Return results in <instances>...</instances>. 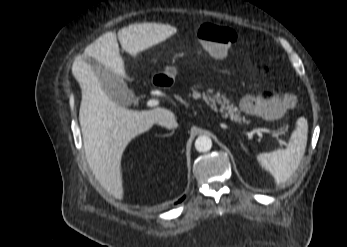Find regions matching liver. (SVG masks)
I'll list each match as a JSON object with an SVG mask.
<instances>
[{
    "instance_id": "liver-1",
    "label": "liver",
    "mask_w": 347,
    "mask_h": 247,
    "mask_svg": "<svg viewBox=\"0 0 347 247\" xmlns=\"http://www.w3.org/2000/svg\"><path fill=\"white\" fill-rule=\"evenodd\" d=\"M175 28L158 23L133 24L118 31L122 48L132 56L167 39ZM115 32H107L75 58L72 74L80 83L82 102L79 121L87 161L101 185L115 198H123L121 158L128 143L148 131L167 109L129 110L115 103L103 91L88 57L126 77Z\"/></svg>"
}]
</instances>
